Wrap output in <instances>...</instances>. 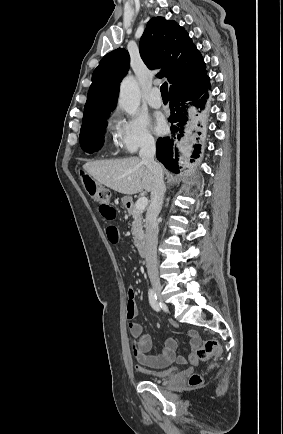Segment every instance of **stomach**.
Masks as SVG:
<instances>
[{
    "instance_id": "1",
    "label": "stomach",
    "mask_w": 283,
    "mask_h": 434,
    "mask_svg": "<svg viewBox=\"0 0 283 434\" xmlns=\"http://www.w3.org/2000/svg\"><path fill=\"white\" fill-rule=\"evenodd\" d=\"M123 206H127L129 202L132 201L131 197L125 196L121 199Z\"/></svg>"
}]
</instances>
